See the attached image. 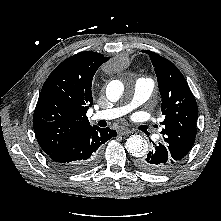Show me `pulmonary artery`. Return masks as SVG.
Listing matches in <instances>:
<instances>
[{"mask_svg":"<svg viewBox=\"0 0 221 221\" xmlns=\"http://www.w3.org/2000/svg\"><path fill=\"white\" fill-rule=\"evenodd\" d=\"M153 89L154 82L152 79L145 77L138 78L135 82L132 99L128 104L98 111L93 115V119L111 120L121 117L146 102L151 96Z\"/></svg>","mask_w":221,"mask_h":221,"instance_id":"obj_1","label":"pulmonary artery"}]
</instances>
